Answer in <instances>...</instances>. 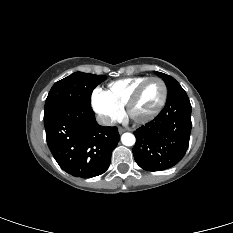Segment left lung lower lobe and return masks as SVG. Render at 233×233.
<instances>
[{"instance_id": "left-lung-lower-lobe-1", "label": "left lung lower lobe", "mask_w": 233, "mask_h": 233, "mask_svg": "<svg viewBox=\"0 0 233 233\" xmlns=\"http://www.w3.org/2000/svg\"><path fill=\"white\" fill-rule=\"evenodd\" d=\"M191 132V104L186 92L167 99L153 121L138 128L133 155L147 171H162L176 165L185 155Z\"/></svg>"}]
</instances>
